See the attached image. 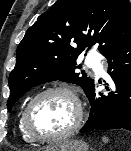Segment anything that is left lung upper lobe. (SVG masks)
I'll return each instance as SVG.
<instances>
[{"mask_svg":"<svg viewBox=\"0 0 131 151\" xmlns=\"http://www.w3.org/2000/svg\"><path fill=\"white\" fill-rule=\"evenodd\" d=\"M130 38L131 7L125 0H57L17 48L16 66L8 78V110L31 87L53 80L78 84L87 93L94 80L75 72L77 57L92 45L106 56Z\"/></svg>","mask_w":131,"mask_h":151,"instance_id":"5c2ea615","label":"left lung upper lobe"}]
</instances>
